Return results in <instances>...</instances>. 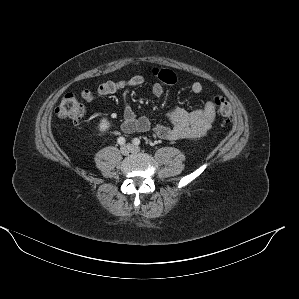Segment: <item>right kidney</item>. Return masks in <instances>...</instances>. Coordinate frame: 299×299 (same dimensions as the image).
<instances>
[{
  "mask_svg": "<svg viewBox=\"0 0 299 299\" xmlns=\"http://www.w3.org/2000/svg\"><path fill=\"white\" fill-rule=\"evenodd\" d=\"M110 127H111V124H110V122L108 121L107 118H102V119L100 120V123H99V125H98V128H99V130H100L101 132H105V131H107Z\"/></svg>",
  "mask_w": 299,
  "mask_h": 299,
  "instance_id": "right-kidney-1",
  "label": "right kidney"
}]
</instances>
